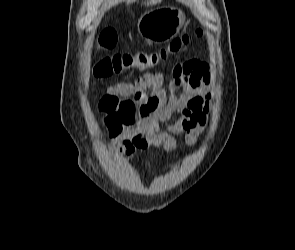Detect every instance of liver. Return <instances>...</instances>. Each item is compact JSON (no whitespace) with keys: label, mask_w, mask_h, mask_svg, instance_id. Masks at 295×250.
Masks as SVG:
<instances>
[{"label":"liver","mask_w":295,"mask_h":250,"mask_svg":"<svg viewBox=\"0 0 295 250\" xmlns=\"http://www.w3.org/2000/svg\"><path fill=\"white\" fill-rule=\"evenodd\" d=\"M158 0H149L147 2H144V4L146 5H150V4H155Z\"/></svg>","instance_id":"liver-1"}]
</instances>
